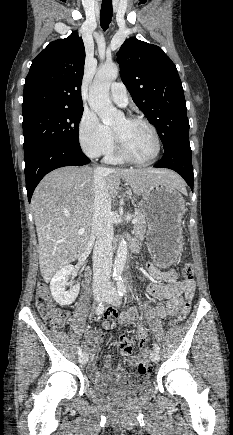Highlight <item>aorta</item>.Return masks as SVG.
Here are the masks:
<instances>
[{
	"instance_id": "obj_1",
	"label": "aorta",
	"mask_w": 233,
	"mask_h": 435,
	"mask_svg": "<svg viewBox=\"0 0 233 435\" xmlns=\"http://www.w3.org/2000/svg\"><path fill=\"white\" fill-rule=\"evenodd\" d=\"M119 74L117 64H107L101 66L89 89V106L100 117L105 125H114L124 119V114L113 107L109 98V89L112 81ZM127 258V242L124 237L121 238L117 250V256L114 263V277L116 280L121 279Z\"/></svg>"
}]
</instances>
